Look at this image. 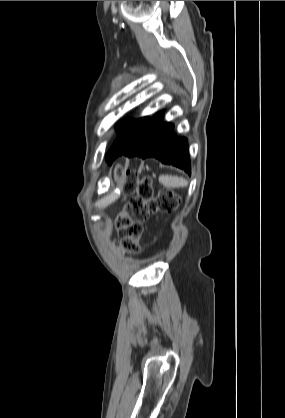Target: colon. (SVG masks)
I'll return each mask as SVG.
<instances>
[{
	"label": "colon",
	"instance_id": "colon-1",
	"mask_svg": "<svg viewBox=\"0 0 285 418\" xmlns=\"http://www.w3.org/2000/svg\"><path fill=\"white\" fill-rule=\"evenodd\" d=\"M127 195H134L116 220L118 238L115 246L118 250L129 254L138 255L141 251L139 239L141 237L145 221L157 211L170 212L178 204L179 197L172 190L164 189L158 195H154L149 179H144L136 184L134 179L127 180L124 185Z\"/></svg>",
	"mask_w": 285,
	"mask_h": 418
}]
</instances>
